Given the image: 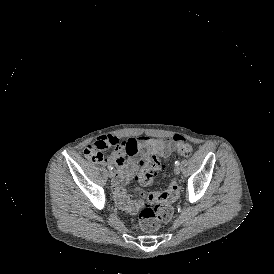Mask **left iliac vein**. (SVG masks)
<instances>
[{"mask_svg":"<svg viewBox=\"0 0 274 274\" xmlns=\"http://www.w3.org/2000/svg\"><path fill=\"white\" fill-rule=\"evenodd\" d=\"M174 173H175L176 175L180 174V168H179L178 166H176V167L174 168Z\"/></svg>","mask_w":274,"mask_h":274,"instance_id":"4c4485c4","label":"left iliac vein"}]
</instances>
